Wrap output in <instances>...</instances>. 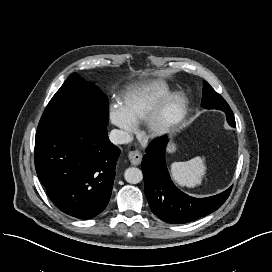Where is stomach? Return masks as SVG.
I'll return each instance as SVG.
<instances>
[{
	"instance_id": "1",
	"label": "stomach",
	"mask_w": 272,
	"mask_h": 272,
	"mask_svg": "<svg viewBox=\"0 0 272 272\" xmlns=\"http://www.w3.org/2000/svg\"><path fill=\"white\" fill-rule=\"evenodd\" d=\"M176 150V147L173 143L169 144L167 151L168 153H173Z\"/></svg>"
}]
</instances>
